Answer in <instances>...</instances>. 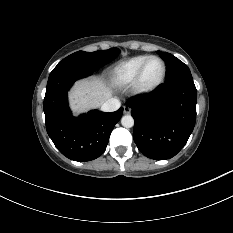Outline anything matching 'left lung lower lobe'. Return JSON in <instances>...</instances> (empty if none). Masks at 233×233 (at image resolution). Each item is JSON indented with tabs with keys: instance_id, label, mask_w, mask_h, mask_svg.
<instances>
[{
	"instance_id": "0a47b994",
	"label": "left lung lower lobe",
	"mask_w": 233,
	"mask_h": 233,
	"mask_svg": "<svg viewBox=\"0 0 233 233\" xmlns=\"http://www.w3.org/2000/svg\"><path fill=\"white\" fill-rule=\"evenodd\" d=\"M193 79L164 83L151 93L127 101L135 120L133 139L148 158L165 160L186 144L196 121Z\"/></svg>"
}]
</instances>
